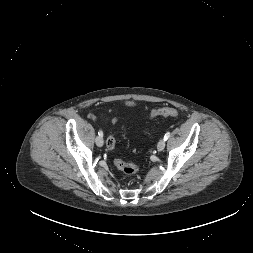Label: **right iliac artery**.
I'll return each mask as SVG.
<instances>
[{
	"instance_id": "obj_1",
	"label": "right iliac artery",
	"mask_w": 253,
	"mask_h": 253,
	"mask_svg": "<svg viewBox=\"0 0 253 253\" xmlns=\"http://www.w3.org/2000/svg\"><path fill=\"white\" fill-rule=\"evenodd\" d=\"M98 135L103 136V132L101 130H99Z\"/></svg>"
}]
</instances>
